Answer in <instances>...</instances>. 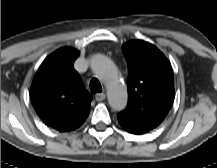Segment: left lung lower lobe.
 Returning <instances> with one entry per match:
<instances>
[{
  "label": "left lung lower lobe",
  "instance_id": "1",
  "mask_svg": "<svg viewBox=\"0 0 217 168\" xmlns=\"http://www.w3.org/2000/svg\"><path fill=\"white\" fill-rule=\"evenodd\" d=\"M118 122H119L120 125H121L126 131H128L129 133L137 134V135H139V134H144V133H145V132H143V131H141V130H139V129H136V128H134V127H132V126L126 124V123H123V122H121V121H118Z\"/></svg>",
  "mask_w": 217,
  "mask_h": 168
}]
</instances>
